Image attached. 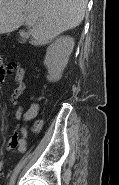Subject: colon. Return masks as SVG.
<instances>
[{
	"label": "colon",
	"mask_w": 119,
	"mask_h": 185,
	"mask_svg": "<svg viewBox=\"0 0 119 185\" xmlns=\"http://www.w3.org/2000/svg\"><path fill=\"white\" fill-rule=\"evenodd\" d=\"M41 128V122L40 121H36L33 125V130L34 131H39Z\"/></svg>",
	"instance_id": "colon-1"
}]
</instances>
